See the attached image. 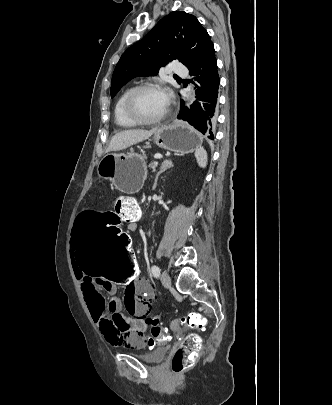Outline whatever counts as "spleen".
Wrapping results in <instances>:
<instances>
[{
    "label": "spleen",
    "mask_w": 332,
    "mask_h": 405,
    "mask_svg": "<svg viewBox=\"0 0 332 405\" xmlns=\"http://www.w3.org/2000/svg\"><path fill=\"white\" fill-rule=\"evenodd\" d=\"M195 157H196L197 163L200 167H202V168L206 167L207 152L204 150L203 147H200L199 149L196 150Z\"/></svg>",
    "instance_id": "obj_1"
}]
</instances>
